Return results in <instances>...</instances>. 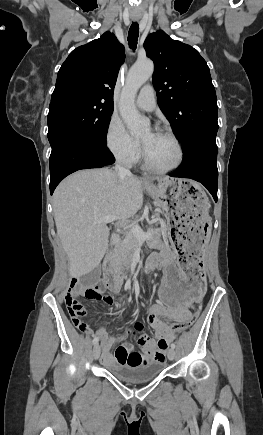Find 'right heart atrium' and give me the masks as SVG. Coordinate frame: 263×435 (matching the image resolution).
Instances as JSON below:
<instances>
[{"label":"right heart atrium","instance_id":"obj_1","mask_svg":"<svg viewBox=\"0 0 263 435\" xmlns=\"http://www.w3.org/2000/svg\"><path fill=\"white\" fill-rule=\"evenodd\" d=\"M105 144L114 158L123 164H133L141 156L140 143L129 134L118 117H111L107 124Z\"/></svg>","mask_w":263,"mask_h":435}]
</instances>
